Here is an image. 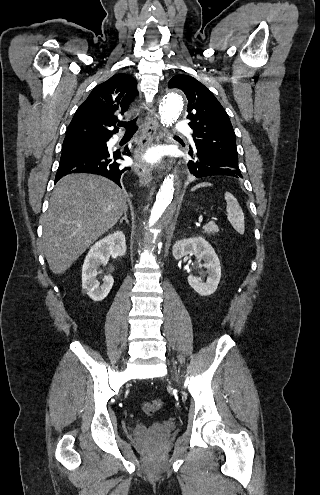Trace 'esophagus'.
I'll return each instance as SVG.
<instances>
[{"instance_id":"esophagus-1","label":"esophagus","mask_w":320,"mask_h":495,"mask_svg":"<svg viewBox=\"0 0 320 495\" xmlns=\"http://www.w3.org/2000/svg\"><path fill=\"white\" fill-rule=\"evenodd\" d=\"M159 126L158 117L155 111L150 110L145 119V132L142 135L141 145L134 152V171L144 185H149L153 180L150 168L139 158L140 151L148 148L154 142H158L157 129Z\"/></svg>"}]
</instances>
